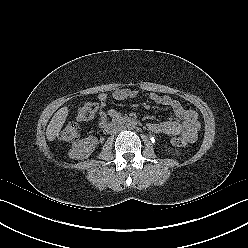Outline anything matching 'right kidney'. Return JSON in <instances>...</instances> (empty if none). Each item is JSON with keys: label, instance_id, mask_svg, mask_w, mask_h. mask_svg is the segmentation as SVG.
<instances>
[{"label": "right kidney", "instance_id": "ca27d5eb", "mask_svg": "<svg viewBox=\"0 0 248 248\" xmlns=\"http://www.w3.org/2000/svg\"><path fill=\"white\" fill-rule=\"evenodd\" d=\"M98 144V139L95 136H88L85 139L74 143L69 151V157L72 159L88 158L95 150Z\"/></svg>", "mask_w": 248, "mask_h": 248}]
</instances>
